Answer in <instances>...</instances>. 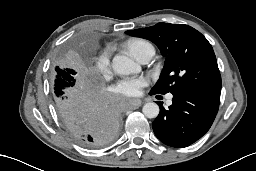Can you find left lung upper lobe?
I'll return each instance as SVG.
<instances>
[{
    "instance_id": "5c2ea615",
    "label": "left lung upper lobe",
    "mask_w": 256,
    "mask_h": 171,
    "mask_svg": "<svg viewBox=\"0 0 256 171\" xmlns=\"http://www.w3.org/2000/svg\"><path fill=\"white\" fill-rule=\"evenodd\" d=\"M126 33L152 41L166 57L160 78L150 92L173 94L184 88L221 92L213 48L196 29L183 24L157 23Z\"/></svg>"
}]
</instances>
